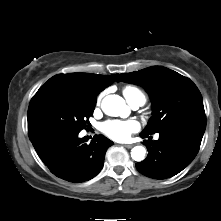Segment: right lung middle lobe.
I'll use <instances>...</instances> for the list:
<instances>
[{"mask_svg": "<svg viewBox=\"0 0 221 221\" xmlns=\"http://www.w3.org/2000/svg\"><path fill=\"white\" fill-rule=\"evenodd\" d=\"M96 99L64 86H42L28 108V134L42 131L79 133L90 124Z\"/></svg>", "mask_w": 221, "mask_h": 221, "instance_id": "dd1d6c3e", "label": "right lung middle lobe"}]
</instances>
